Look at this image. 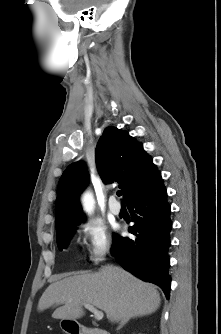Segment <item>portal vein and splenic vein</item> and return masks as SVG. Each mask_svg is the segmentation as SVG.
I'll return each instance as SVG.
<instances>
[{"instance_id": "portal-vein-and-splenic-vein-1", "label": "portal vein and splenic vein", "mask_w": 221, "mask_h": 334, "mask_svg": "<svg viewBox=\"0 0 221 334\" xmlns=\"http://www.w3.org/2000/svg\"><path fill=\"white\" fill-rule=\"evenodd\" d=\"M84 307L94 314L96 320L103 319L104 313L96 309L93 305L84 304Z\"/></svg>"}]
</instances>
